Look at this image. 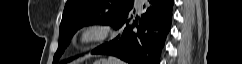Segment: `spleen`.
I'll return each instance as SVG.
<instances>
[{
  "label": "spleen",
  "mask_w": 242,
  "mask_h": 64,
  "mask_svg": "<svg viewBox=\"0 0 242 64\" xmlns=\"http://www.w3.org/2000/svg\"><path fill=\"white\" fill-rule=\"evenodd\" d=\"M108 63L109 64H123L120 60L113 58V57H109Z\"/></svg>",
  "instance_id": "spleen-1"
}]
</instances>
